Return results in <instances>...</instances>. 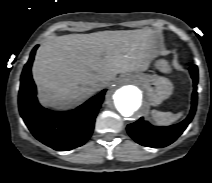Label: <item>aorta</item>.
<instances>
[{
	"instance_id": "762f6f07",
	"label": "aorta",
	"mask_w": 212,
	"mask_h": 183,
	"mask_svg": "<svg viewBox=\"0 0 212 183\" xmlns=\"http://www.w3.org/2000/svg\"><path fill=\"white\" fill-rule=\"evenodd\" d=\"M141 91L133 85H125L113 91L112 100L115 109L123 116L129 117L141 106Z\"/></svg>"
}]
</instances>
